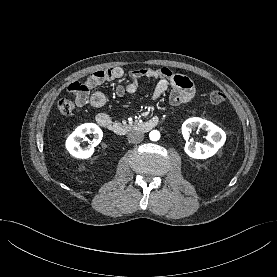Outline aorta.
Masks as SVG:
<instances>
[{
  "label": "aorta",
  "mask_w": 277,
  "mask_h": 277,
  "mask_svg": "<svg viewBox=\"0 0 277 277\" xmlns=\"http://www.w3.org/2000/svg\"><path fill=\"white\" fill-rule=\"evenodd\" d=\"M150 140L158 141L160 139V133L157 130H153L149 134Z\"/></svg>",
  "instance_id": "762f6f07"
}]
</instances>
